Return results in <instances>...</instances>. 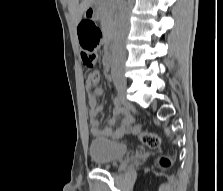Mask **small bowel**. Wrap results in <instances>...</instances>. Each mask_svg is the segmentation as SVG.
<instances>
[{
	"instance_id": "obj_1",
	"label": "small bowel",
	"mask_w": 223,
	"mask_h": 191,
	"mask_svg": "<svg viewBox=\"0 0 223 191\" xmlns=\"http://www.w3.org/2000/svg\"><path fill=\"white\" fill-rule=\"evenodd\" d=\"M85 26L88 28L98 29L97 26L91 23H86ZM112 63V58H107L106 55L103 56V65L105 71L108 72ZM87 93H88V117L90 123L91 134L95 137H107L112 139H118L125 135H128L131 132V126L133 124V117L131 113L121 107V105L115 103L113 107V117L109 120L108 126L104 129H101V124L98 119L99 114L103 111L104 105L98 103V98L104 94V91L101 87H93L92 84H87ZM123 115L120 123L117 127H114L117 118Z\"/></svg>"
}]
</instances>
